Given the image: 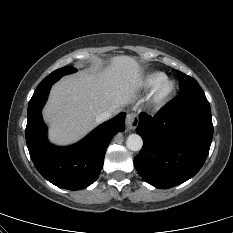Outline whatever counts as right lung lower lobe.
<instances>
[{
  "instance_id": "obj_1",
  "label": "right lung lower lobe",
  "mask_w": 233,
  "mask_h": 233,
  "mask_svg": "<svg viewBox=\"0 0 233 233\" xmlns=\"http://www.w3.org/2000/svg\"><path fill=\"white\" fill-rule=\"evenodd\" d=\"M51 85L34 92L27 113L26 142L30 157L39 173L52 184L69 190L91 185L103 167L111 139L125 130V113L101 124L80 142L57 147L47 141V127L41 110Z\"/></svg>"
}]
</instances>
